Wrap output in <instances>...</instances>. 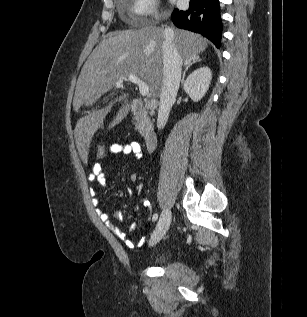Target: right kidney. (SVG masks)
<instances>
[{
    "mask_svg": "<svg viewBox=\"0 0 307 317\" xmlns=\"http://www.w3.org/2000/svg\"><path fill=\"white\" fill-rule=\"evenodd\" d=\"M212 79L209 67H200L186 79L183 89L194 102L200 101L206 94Z\"/></svg>",
    "mask_w": 307,
    "mask_h": 317,
    "instance_id": "ca27d5eb",
    "label": "right kidney"
}]
</instances>
